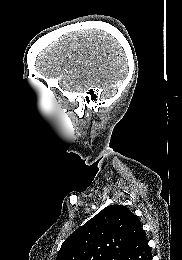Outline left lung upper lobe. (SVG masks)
<instances>
[{"label":"left lung upper lobe","mask_w":182,"mask_h":260,"mask_svg":"<svg viewBox=\"0 0 182 260\" xmlns=\"http://www.w3.org/2000/svg\"><path fill=\"white\" fill-rule=\"evenodd\" d=\"M141 227L126 206H107L64 241L56 260H121Z\"/></svg>","instance_id":"obj_1"}]
</instances>
